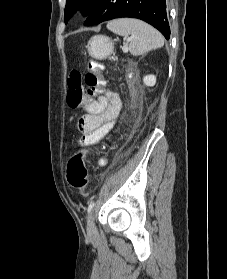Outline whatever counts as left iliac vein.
Masks as SVG:
<instances>
[{"mask_svg":"<svg viewBox=\"0 0 227 279\" xmlns=\"http://www.w3.org/2000/svg\"><path fill=\"white\" fill-rule=\"evenodd\" d=\"M96 232L97 231L94 223V215L93 213H90L87 221V235L89 238H92L96 235Z\"/></svg>","mask_w":227,"mask_h":279,"instance_id":"obj_1","label":"left iliac vein"}]
</instances>
